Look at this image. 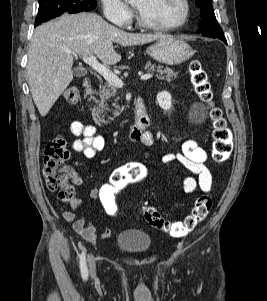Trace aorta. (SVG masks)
<instances>
[{"instance_id": "762f6f07", "label": "aorta", "mask_w": 267, "mask_h": 301, "mask_svg": "<svg viewBox=\"0 0 267 301\" xmlns=\"http://www.w3.org/2000/svg\"><path fill=\"white\" fill-rule=\"evenodd\" d=\"M126 1H128V2H134V1H136V0H126Z\"/></svg>"}]
</instances>
